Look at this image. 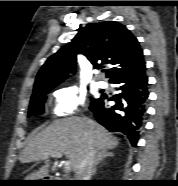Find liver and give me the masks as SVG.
<instances>
[{"instance_id": "6515ba94", "label": "liver", "mask_w": 178, "mask_h": 186, "mask_svg": "<svg viewBox=\"0 0 178 186\" xmlns=\"http://www.w3.org/2000/svg\"><path fill=\"white\" fill-rule=\"evenodd\" d=\"M91 139L96 151L115 148L119 140L98 123L84 117H68L53 121L48 127L34 136L23 150L21 163L44 160L45 165L27 176V180H39L49 173L50 160L47 153H63L76 173L83 158L88 140ZM54 162L51 171H55Z\"/></svg>"}]
</instances>
